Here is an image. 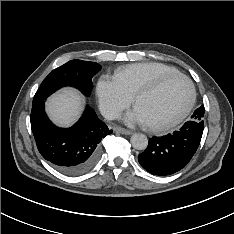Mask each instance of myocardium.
Instances as JSON below:
<instances>
[{
    "mask_svg": "<svg viewBox=\"0 0 234 234\" xmlns=\"http://www.w3.org/2000/svg\"><path fill=\"white\" fill-rule=\"evenodd\" d=\"M175 78L182 79L188 84L189 89H190L189 101H188L186 107L184 108V110L174 119L169 120V121L164 122V123H160V124H148L149 128L153 131L162 132V131L170 130V129L174 128L175 126H177L178 124H180L188 116V114L192 110V108L195 104V101H196V89H195V86H194L192 80L188 76H186L180 72L166 74V75H163L160 78L156 79L155 81L151 82L150 84L140 88L133 96V102L136 105L137 101L141 97L157 91L166 82H168L172 79H175Z\"/></svg>",
    "mask_w": 234,
    "mask_h": 234,
    "instance_id": "obj_1",
    "label": "myocardium"
}]
</instances>
